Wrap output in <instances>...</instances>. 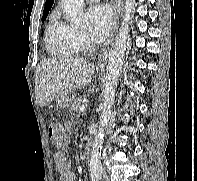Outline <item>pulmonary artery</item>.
<instances>
[{"instance_id": "obj_1", "label": "pulmonary artery", "mask_w": 197, "mask_h": 181, "mask_svg": "<svg viewBox=\"0 0 197 181\" xmlns=\"http://www.w3.org/2000/svg\"><path fill=\"white\" fill-rule=\"evenodd\" d=\"M88 2H97L99 0H87Z\"/></svg>"}]
</instances>
